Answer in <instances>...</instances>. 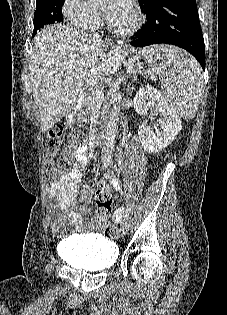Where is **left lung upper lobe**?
<instances>
[{"label": "left lung upper lobe", "mask_w": 227, "mask_h": 315, "mask_svg": "<svg viewBox=\"0 0 227 315\" xmlns=\"http://www.w3.org/2000/svg\"><path fill=\"white\" fill-rule=\"evenodd\" d=\"M142 11L151 9L160 0H138Z\"/></svg>", "instance_id": "1"}]
</instances>
